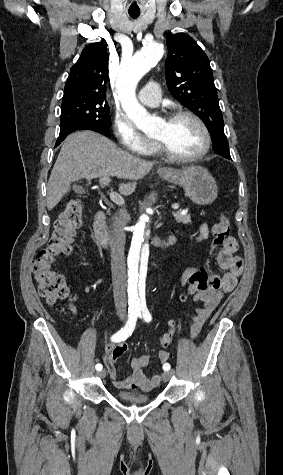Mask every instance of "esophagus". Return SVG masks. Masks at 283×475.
Instances as JSON below:
<instances>
[{
    "label": "esophagus",
    "instance_id": "1",
    "mask_svg": "<svg viewBox=\"0 0 283 475\" xmlns=\"http://www.w3.org/2000/svg\"><path fill=\"white\" fill-rule=\"evenodd\" d=\"M159 171L168 172L169 170H168L167 168H165V167H161V168L159 169Z\"/></svg>",
    "mask_w": 283,
    "mask_h": 475
}]
</instances>
